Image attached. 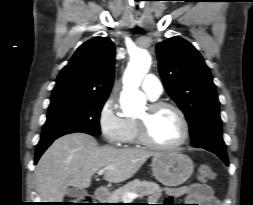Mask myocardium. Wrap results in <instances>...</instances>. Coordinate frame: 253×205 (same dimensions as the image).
Returning <instances> with one entry per match:
<instances>
[{
    "mask_svg": "<svg viewBox=\"0 0 253 205\" xmlns=\"http://www.w3.org/2000/svg\"><path fill=\"white\" fill-rule=\"evenodd\" d=\"M164 109H170L174 111L180 118V121L183 125V136L182 138L175 144L172 145H161L156 143L150 135L149 132V122L153 115L160 112ZM136 126H137V137L141 144L155 150L161 151H169L175 150L179 147L183 146L189 139L190 136V125L189 121L184 113V111L178 107L177 105L166 102V101H154L149 104L148 106V115L144 118H137L136 119Z\"/></svg>",
    "mask_w": 253,
    "mask_h": 205,
    "instance_id": "myocardium-1",
    "label": "myocardium"
}]
</instances>
